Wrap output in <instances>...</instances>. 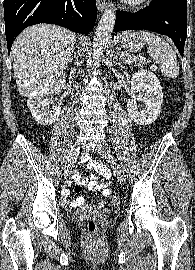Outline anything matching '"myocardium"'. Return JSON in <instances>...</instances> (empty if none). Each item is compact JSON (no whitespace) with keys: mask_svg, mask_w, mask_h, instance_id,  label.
<instances>
[{"mask_svg":"<svg viewBox=\"0 0 195 270\" xmlns=\"http://www.w3.org/2000/svg\"><path fill=\"white\" fill-rule=\"evenodd\" d=\"M124 4L132 7H139L146 4L149 0H121Z\"/></svg>","mask_w":195,"mask_h":270,"instance_id":"1","label":"myocardium"}]
</instances>
